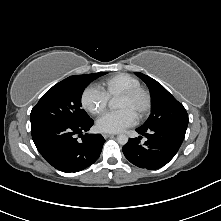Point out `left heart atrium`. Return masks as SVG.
<instances>
[{
  "instance_id": "39dd6f15",
  "label": "left heart atrium",
  "mask_w": 221,
  "mask_h": 221,
  "mask_svg": "<svg viewBox=\"0 0 221 221\" xmlns=\"http://www.w3.org/2000/svg\"><path fill=\"white\" fill-rule=\"evenodd\" d=\"M135 121L136 116L131 111L122 109L102 115L97 120L96 127L100 132L117 133L132 126Z\"/></svg>"
}]
</instances>
